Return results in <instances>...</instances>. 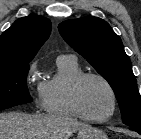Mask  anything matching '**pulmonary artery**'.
Listing matches in <instances>:
<instances>
[{
	"label": "pulmonary artery",
	"mask_w": 141,
	"mask_h": 139,
	"mask_svg": "<svg viewBox=\"0 0 141 139\" xmlns=\"http://www.w3.org/2000/svg\"><path fill=\"white\" fill-rule=\"evenodd\" d=\"M61 57H73V56H65V55H62V56H59L58 58H61Z\"/></svg>",
	"instance_id": "pulmonary-artery-1"
}]
</instances>
